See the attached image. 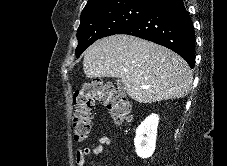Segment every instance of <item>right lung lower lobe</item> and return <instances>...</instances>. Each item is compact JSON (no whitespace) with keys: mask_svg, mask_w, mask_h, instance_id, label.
I'll return each mask as SVG.
<instances>
[{"mask_svg":"<svg viewBox=\"0 0 227 166\" xmlns=\"http://www.w3.org/2000/svg\"><path fill=\"white\" fill-rule=\"evenodd\" d=\"M118 34H128L165 46L183 57L191 68L195 32L183 0H162L138 21Z\"/></svg>","mask_w":227,"mask_h":166,"instance_id":"right-lung-lower-lobe-1","label":"right lung lower lobe"}]
</instances>
